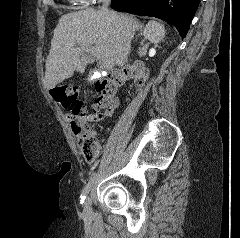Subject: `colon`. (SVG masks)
Masks as SVG:
<instances>
[{"label": "colon", "mask_w": 240, "mask_h": 238, "mask_svg": "<svg viewBox=\"0 0 240 238\" xmlns=\"http://www.w3.org/2000/svg\"><path fill=\"white\" fill-rule=\"evenodd\" d=\"M147 75V70L141 64H134L122 71L110 73L96 84L95 109L110 108L115 102L119 87L126 80H134L137 85H141ZM50 95L56 102L71 111V128L78 139L80 152L87 161L92 162L98 155V144L94 132L80 120V117L85 115V105L79 99L78 87L72 84H61L53 87Z\"/></svg>", "instance_id": "1"}]
</instances>
